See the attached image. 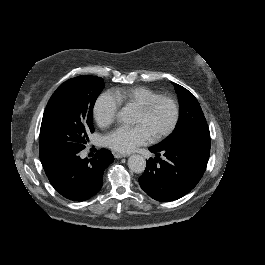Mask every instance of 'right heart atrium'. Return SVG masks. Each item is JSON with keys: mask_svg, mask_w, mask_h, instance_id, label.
Returning a JSON list of instances; mask_svg holds the SVG:
<instances>
[{"mask_svg": "<svg viewBox=\"0 0 265 265\" xmlns=\"http://www.w3.org/2000/svg\"><path fill=\"white\" fill-rule=\"evenodd\" d=\"M119 105L108 93L101 94L93 106V117L96 123L102 127H108L116 121Z\"/></svg>", "mask_w": 265, "mask_h": 265, "instance_id": "1", "label": "right heart atrium"}]
</instances>
